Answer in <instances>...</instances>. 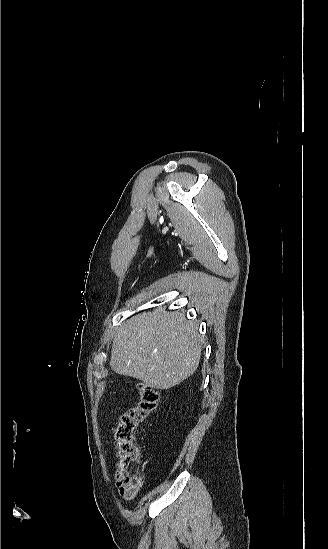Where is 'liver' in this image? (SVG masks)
<instances>
[{
    "label": "liver",
    "mask_w": 328,
    "mask_h": 549,
    "mask_svg": "<svg viewBox=\"0 0 328 549\" xmlns=\"http://www.w3.org/2000/svg\"><path fill=\"white\" fill-rule=\"evenodd\" d=\"M195 321L164 309L121 323L113 339L110 367L152 389H171L199 367L201 343Z\"/></svg>",
    "instance_id": "liver-1"
}]
</instances>
